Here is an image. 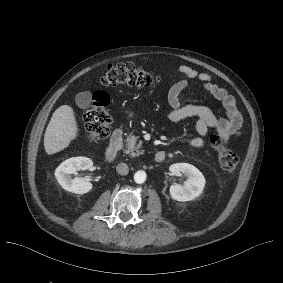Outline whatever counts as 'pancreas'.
I'll list each match as a JSON object with an SVG mask.
<instances>
[{
    "label": "pancreas",
    "instance_id": "pancreas-1",
    "mask_svg": "<svg viewBox=\"0 0 283 283\" xmlns=\"http://www.w3.org/2000/svg\"><path fill=\"white\" fill-rule=\"evenodd\" d=\"M136 141L137 137L131 134L126 139L127 149L125 150V152L133 157L144 153L143 150H140L141 144H136Z\"/></svg>",
    "mask_w": 283,
    "mask_h": 283
}]
</instances>
